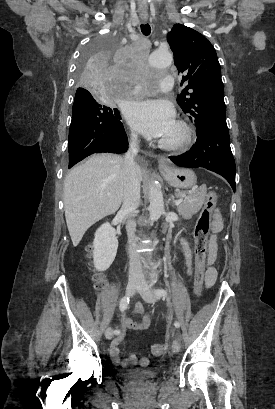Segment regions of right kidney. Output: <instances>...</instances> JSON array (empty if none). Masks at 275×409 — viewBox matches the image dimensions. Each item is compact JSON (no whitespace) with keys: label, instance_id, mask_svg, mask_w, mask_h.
Masks as SVG:
<instances>
[{"label":"right kidney","instance_id":"obj_1","mask_svg":"<svg viewBox=\"0 0 275 409\" xmlns=\"http://www.w3.org/2000/svg\"><path fill=\"white\" fill-rule=\"evenodd\" d=\"M93 261L97 271H107L112 265L117 249L118 241L114 227L110 223H104L95 233L93 243Z\"/></svg>","mask_w":275,"mask_h":409}]
</instances>
